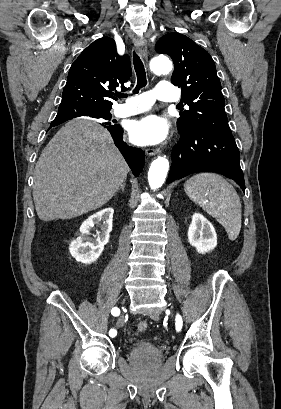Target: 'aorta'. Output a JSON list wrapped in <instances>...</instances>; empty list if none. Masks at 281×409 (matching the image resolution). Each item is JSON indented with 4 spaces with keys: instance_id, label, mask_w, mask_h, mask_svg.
I'll list each match as a JSON object with an SVG mask.
<instances>
[{
    "instance_id": "obj_1",
    "label": "aorta",
    "mask_w": 281,
    "mask_h": 409,
    "mask_svg": "<svg viewBox=\"0 0 281 409\" xmlns=\"http://www.w3.org/2000/svg\"><path fill=\"white\" fill-rule=\"evenodd\" d=\"M150 69L156 75L168 74L172 70V62L165 56H158L151 60ZM169 161L165 157L155 159L149 168L148 182L151 189L160 188L167 176Z\"/></svg>"
}]
</instances>
